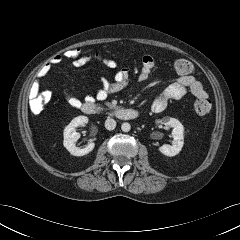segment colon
I'll use <instances>...</instances> for the list:
<instances>
[{
    "label": "colon",
    "instance_id": "1",
    "mask_svg": "<svg viewBox=\"0 0 240 240\" xmlns=\"http://www.w3.org/2000/svg\"><path fill=\"white\" fill-rule=\"evenodd\" d=\"M64 59L68 60L75 67L84 64L86 53L79 47H72L62 53ZM174 69L179 74H191L194 70L193 64L184 58L174 61ZM49 100V95L44 93L30 98V109L33 113H40ZM194 110L201 119H206L211 110V103L208 99H197L194 102Z\"/></svg>",
    "mask_w": 240,
    "mask_h": 240
}]
</instances>
